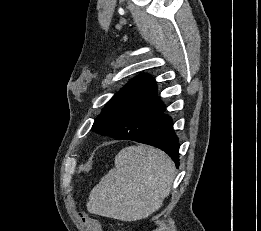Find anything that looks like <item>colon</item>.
Segmentation results:
<instances>
[{
  "instance_id": "obj_1",
  "label": "colon",
  "mask_w": 261,
  "mask_h": 231,
  "mask_svg": "<svg viewBox=\"0 0 261 231\" xmlns=\"http://www.w3.org/2000/svg\"><path fill=\"white\" fill-rule=\"evenodd\" d=\"M80 218H84V213L79 214Z\"/></svg>"
}]
</instances>
